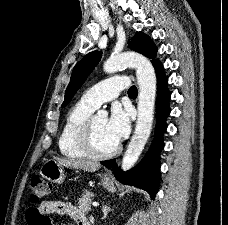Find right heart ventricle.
I'll list each match as a JSON object with an SVG mask.
<instances>
[{"label":"right heart ventricle","mask_w":228,"mask_h":225,"mask_svg":"<svg viewBox=\"0 0 228 225\" xmlns=\"http://www.w3.org/2000/svg\"><path fill=\"white\" fill-rule=\"evenodd\" d=\"M94 110L93 107L79 100L68 111L58 140L59 151L64 157L84 159L92 156L81 147L79 135L84 122Z\"/></svg>","instance_id":"e07e8e85"}]
</instances>
